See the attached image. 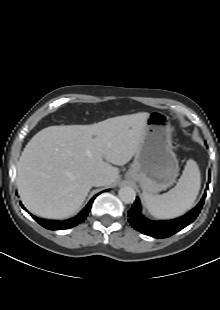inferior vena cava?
Returning <instances> with one entry per match:
<instances>
[{"label":"inferior vena cava","instance_id":"obj_1","mask_svg":"<svg viewBox=\"0 0 220 310\" xmlns=\"http://www.w3.org/2000/svg\"><path fill=\"white\" fill-rule=\"evenodd\" d=\"M107 183V177L104 175H95L91 179V184L93 186L99 187V186H104Z\"/></svg>","mask_w":220,"mask_h":310}]
</instances>
